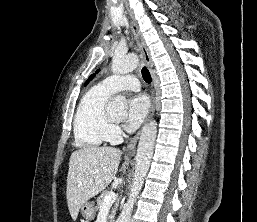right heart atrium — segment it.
<instances>
[{"mask_svg": "<svg viewBox=\"0 0 257 222\" xmlns=\"http://www.w3.org/2000/svg\"><path fill=\"white\" fill-rule=\"evenodd\" d=\"M122 133L117 125H111L109 129V141H117L121 137Z\"/></svg>", "mask_w": 257, "mask_h": 222, "instance_id": "right-heart-atrium-1", "label": "right heart atrium"}]
</instances>
